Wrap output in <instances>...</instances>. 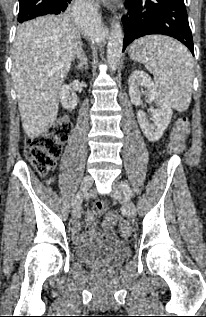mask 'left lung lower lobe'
<instances>
[{"label":"left lung lower lobe","instance_id":"1","mask_svg":"<svg viewBox=\"0 0 206 317\" xmlns=\"http://www.w3.org/2000/svg\"><path fill=\"white\" fill-rule=\"evenodd\" d=\"M125 7L123 51L139 37L163 34L178 39L194 54L184 0H126Z\"/></svg>","mask_w":206,"mask_h":317}]
</instances>
